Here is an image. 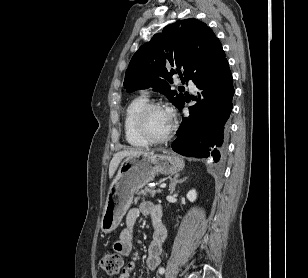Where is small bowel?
I'll return each mask as SVG.
<instances>
[{"label": "small bowel", "instance_id": "1", "mask_svg": "<svg viewBox=\"0 0 308 278\" xmlns=\"http://www.w3.org/2000/svg\"><path fill=\"white\" fill-rule=\"evenodd\" d=\"M140 215L150 216L154 227L153 239L148 247L146 265L150 270H155L160 265L162 244L167 234L161 221L162 209L159 205L145 201L139 207L129 210L126 216V227L120 232L118 240L113 245L118 254L131 258V261L123 267L117 278H132L135 269L134 227Z\"/></svg>", "mask_w": 308, "mask_h": 278}]
</instances>
